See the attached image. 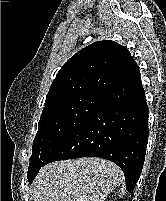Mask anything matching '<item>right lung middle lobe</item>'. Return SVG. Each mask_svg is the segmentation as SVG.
I'll return each instance as SVG.
<instances>
[{
    "mask_svg": "<svg viewBox=\"0 0 166 201\" xmlns=\"http://www.w3.org/2000/svg\"><path fill=\"white\" fill-rule=\"evenodd\" d=\"M103 97L82 95L61 101L43 111L33 141L28 179L39 171L57 146L96 109Z\"/></svg>",
    "mask_w": 166,
    "mask_h": 201,
    "instance_id": "dd1d6c3e",
    "label": "right lung middle lobe"
}]
</instances>
